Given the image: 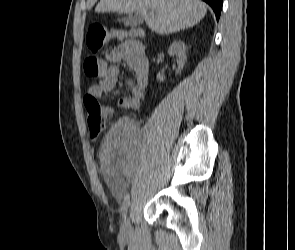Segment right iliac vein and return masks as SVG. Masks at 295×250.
Returning <instances> with one entry per match:
<instances>
[{
	"mask_svg": "<svg viewBox=\"0 0 295 250\" xmlns=\"http://www.w3.org/2000/svg\"><path fill=\"white\" fill-rule=\"evenodd\" d=\"M129 235H130V220L128 217H126L121 224L120 236L122 237V239L126 240L128 239Z\"/></svg>",
	"mask_w": 295,
	"mask_h": 250,
	"instance_id": "63e3f726",
	"label": "right iliac vein"
}]
</instances>
